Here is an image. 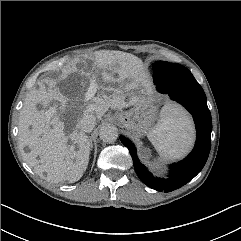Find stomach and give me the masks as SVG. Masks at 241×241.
Here are the masks:
<instances>
[{
    "instance_id": "1",
    "label": "stomach",
    "mask_w": 241,
    "mask_h": 241,
    "mask_svg": "<svg viewBox=\"0 0 241 241\" xmlns=\"http://www.w3.org/2000/svg\"><path fill=\"white\" fill-rule=\"evenodd\" d=\"M157 109L158 106L153 96L143 93L129 110L117 113L115 118L122 127L141 136L152 128L157 117Z\"/></svg>"
}]
</instances>
